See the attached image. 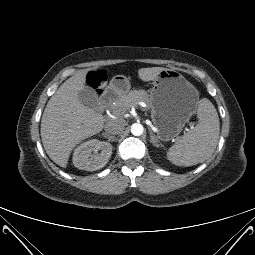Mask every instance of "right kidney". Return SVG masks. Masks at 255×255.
<instances>
[{"label": "right kidney", "instance_id": "ca27d5eb", "mask_svg": "<svg viewBox=\"0 0 255 255\" xmlns=\"http://www.w3.org/2000/svg\"><path fill=\"white\" fill-rule=\"evenodd\" d=\"M111 154L112 146L109 143L89 140L74 150L73 164L80 170L96 171L108 163Z\"/></svg>", "mask_w": 255, "mask_h": 255}]
</instances>
